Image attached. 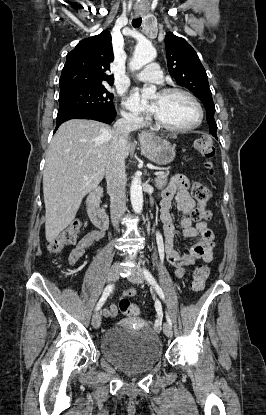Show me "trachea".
Segmentation results:
<instances>
[{
	"instance_id": "3493384b",
	"label": "trachea",
	"mask_w": 266,
	"mask_h": 415,
	"mask_svg": "<svg viewBox=\"0 0 266 415\" xmlns=\"http://www.w3.org/2000/svg\"><path fill=\"white\" fill-rule=\"evenodd\" d=\"M141 23H142L141 17L132 20V25L135 28L140 27Z\"/></svg>"
}]
</instances>
